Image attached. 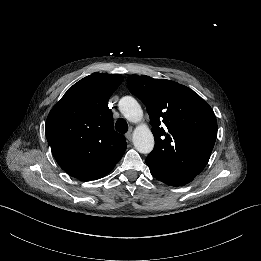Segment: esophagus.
I'll return each mask as SVG.
<instances>
[{
  "mask_svg": "<svg viewBox=\"0 0 261 261\" xmlns=\"http://www.w3.org/2000/svg\"><path fill=\"white\" fill-rule=\"evenodd\" d=\"M125 137L128 141H132V133L130 131L125 134Z\"/></svg>",
  "mask_w": 261,
  "mask_h": 261,
  "instance_id": "34e87169",
  "label": "esophagus"
}]
</instances>
